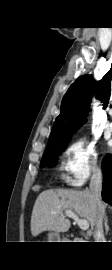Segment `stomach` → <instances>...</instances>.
<instances>
[{
  "mask_svg": "<svg viewBox=\"0 0 112 270\" xmlns=\"http://www.w3.org/2000/svg\"><path fill=\"white\" fill-rule=\"evenodd\" d=\"M48 239H49V242H59L60 235L58 232H50L48 234Z\"/></svg>",
  "mask_w": 112,
  "mask_h": 270,
  "instance_id": "0dacf381",
  "label": "stomach"
}]
</instances>
